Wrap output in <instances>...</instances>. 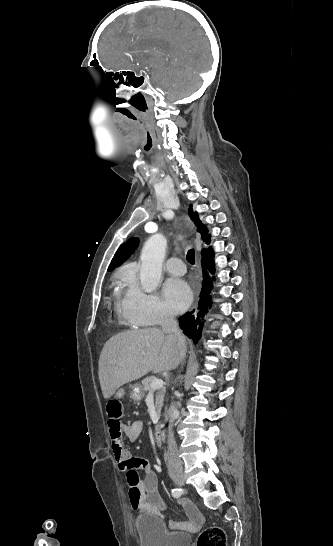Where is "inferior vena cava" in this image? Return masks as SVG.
<instances>
[{
	"label": "inferior vena cava",
	"mask_w": 333,
	"mask_h": 546,
	"mask_svg": "<svg viewBox=\"0 0 333 546\" xmlns=\"http://www.w3.org/2000/svg\"><path fill=\"white\" fill-rule=\"evenodd\" d=\"M162 331L168 334L173 335L177 341L178 346L180 349V355L181 360L185 358L186 354V344H185V338L182 335L181 331L178 328V323L174 319V316L170 313H165L162 318L161 322ZM178 411L175 408V405L172 403L170 405L169 411H168V418H169V441H168V451H167V459H168V468L171 469L173 467H181L182 462L179 459L178 450L176 441L174 439V435L172 432V425L175 420V417L177 416Z\"/></svg>",
	"instance_id": "1"
}]
</instances>
